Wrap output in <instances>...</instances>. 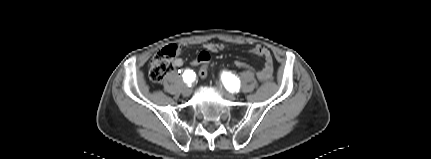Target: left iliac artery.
Wrapping results in <instances>:
<instances>
[{"instance_id":"obj_1","label":"left iliac artery","mask_w":431,"mask_h":159,"mask_svg":"<svg viewBox=\"0 0 431 159\" xmlns=\"http://www.w3.org/2000/svg\"><path fill=\"white\" fill-rule=\"evenodd\" d=\"M222 82L229 92H238L240 89V80L229 72H223Z\"/></svg>"}]
</instances>
